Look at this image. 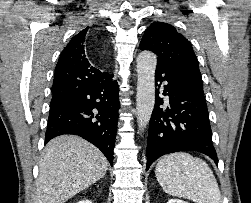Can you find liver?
Instances as JSON below:
<instances>
[{
  "label": "liver",
  "instance_id": "1",
  "mask_svg": "<svg viewBox=\"0 0 251 203\" xmlns=\"http://www.w3.org/2000/svg\"><path fill=\"white\" fill-rule=\"evenodd\" d=\"M108 161L101 151L73 135L52 139L39 163L36 203H65L106 173Z\"/></svg>",
  "mask_w": 251,
  "mask_h": 203
}]
</instances>
